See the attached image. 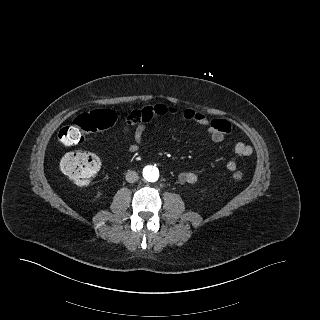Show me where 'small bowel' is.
Wrapping results in <instances>:
<instances>
[{
  "label": "small bowel",
  "instance_id": "small-bowel-1",
  "mask_svg": "<svg viewBox=\"0 0 320 320\" xmlns=\"http://www.w3.org/2000/svg\"><path fill=\"white\" fill-rule=\"evenodd\" d=\"M175 114H177V109L168 104H156L130 112L127 116L126 126L124 128V136L127 140H129L131 127L134 126L135 129L131 139L127 141L128 151L135 153L139 150L148 124L154 117L173 116ZM181 115L187 121H192L206 127L210 139L215 143L222 142L225 136L231 131V125L228 121L220 119L211 120L204 114L193 109H184L182 110ZM140 119H143V121L139 122ZM234 151L237 157L242 160L249 157L253 150L250 145L238 142L234 146ZM237 167V160H230L227 163V169L231 172L235 171ZM179 181L185 185H193L198 181V175L192 171H183L179 174Z\"/></svg>",
  "mask_w": 320,
  "mask_h": 320
}]
</instances>
